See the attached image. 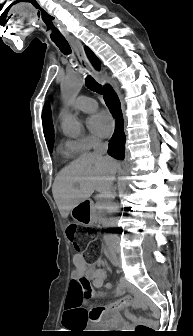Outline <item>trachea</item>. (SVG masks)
Returning <instances> with one entry per match:
<instances>
[{"label": "trachea", "mask_w": 193, "mask_h": 336, "mask_svg": "<svg viewBox=\"0 0 193 336\" xmlns=\"http://www.w3.org/2000/svg\"><path fill=\"white\" fill-rule=\"evenodd\" d=\"M52 27V25H50ZM63 54H69L71 52L70 46L66 40L54 41ZM86 86L91 91L102 93L101 85L96 82L91 76L86 77Z\"/></svg>", "instance_id": "1"}]
</instances>
